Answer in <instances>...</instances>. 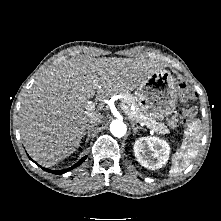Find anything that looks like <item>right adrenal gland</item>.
<instances>
[{"mask_svg":"<svg viewBox=\"0 0 221 221\" xmlns=\"http://www.w3.org/2000/svg\"><path fill=\"white\" fill-rule=\"evenodd\" d=\"M92 126H88V128H87V131L85 132V134H87V139H86V143H88V141H89V137H90V128H91Z\"/></svg>","mask_w":221,"mask_h":221,"instance_id":"right-adrenal-gland-1","label":"right adrenal gland"}]
</instances>
